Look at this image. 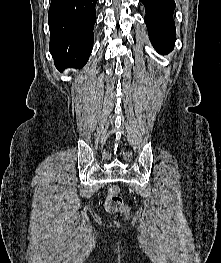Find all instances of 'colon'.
Masks as SVG:
<instances>
[{"label":"colon","mask_w":221,"mask_h":263,"mask_svg":"<svg viewBox=\"0 0 221 263\" xmlns=\"http://www.w3.org/2000/svg\"><path fill=\"white\" fill-rule=\"evenodd\" d=\"M105 209L109 213L127 214L128 207L124 205L122 197L120 196V189L118 186H111L105 200Z\"/></svg>","instance_id":"colon-1"}]
</instances>
